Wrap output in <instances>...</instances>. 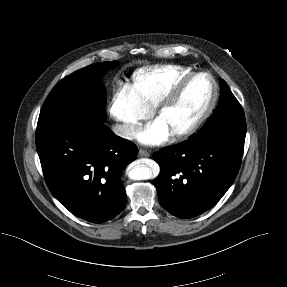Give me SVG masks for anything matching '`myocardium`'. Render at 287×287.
<instances>
[{"label":"myocardium","instance_id":"obj_1","mask_svg":"<svg viewBox=\"0 0 287 287\" xmlns=\"http://www.w3.org/2000/svg\"><path fill=\"white\" fill-rule=\"evenodd\" d=\"M198 77H206L211 83V96L203 111L187 126L170 132L174 139H184L195 133L209 118L218 100V86L212 75L206 72H192L179 80L169 92L152 109L151 115L158 119L167 109H169L179 98L185 87Z\"/></svg>","mask_w":287,"mask_h":287}]
</instances>
